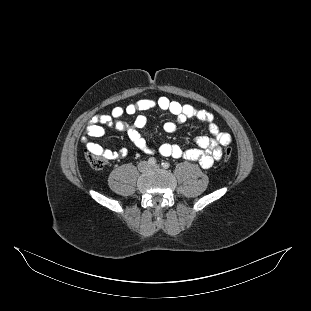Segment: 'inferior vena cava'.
<instances>
[{
	"instance_id": "obj_1",
	"label": "inferior vena cava",
	"mask_w": 311,
	"mask_h": 311,
	"mask_svg": "<svg viewBox=\"0 0 311 311\" xmlns=\"http://www.w3.org/2000/svg\"><path fill=\"white\" fill-rule=\"evenodd\" d=\"M138 168H139L140 170H145V169L147 168V163H146L145 161H140V162L138 163Z\"/></svg>"
}]
</instances>
